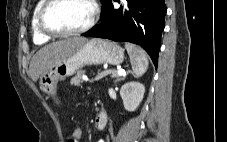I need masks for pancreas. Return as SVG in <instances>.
<instances>
[{
  "mask_svg": "<svg viewBox=\"0 0 227 142\" xmlns=\"http://www.w3.org/2000/svg\"><path fill=\"white\" fill-rule=\"evenodd\" d=\"M85 71L84 70H80L77 72V74L71 78L70 80V84L71 85H80V83L83 82L82 77L85 75Z\"/></svg>",
  "mask_w": 227,
  "mask_h": 142,
  "instance_id": "pancreas-1",
  "label": "pancreas"
}]
</instances>
